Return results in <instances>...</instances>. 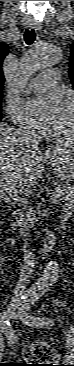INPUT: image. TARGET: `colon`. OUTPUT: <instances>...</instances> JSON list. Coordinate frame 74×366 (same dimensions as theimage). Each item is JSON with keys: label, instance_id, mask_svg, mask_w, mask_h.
<instances>
[{"label": "colon", "instance_id": "1", "mask_svg": "<svg viewBox=\"0 0 74 366\" xmlns=\"http://www.w3.org/2000/svg\"><path fill=\"white\" fill-rule=\"evenodd\" d=\"M24 355L27 360H41L49 362L44 364H34V366H52L50 362L54 359L49 347L44 343H37L32 346H28Z\"/></svg>", "mask_w": 74, "mask_h": 366}]
</instances>
